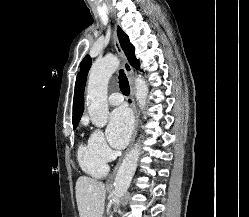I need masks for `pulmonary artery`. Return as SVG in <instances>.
Instances as JSON below:
<instances>
[{
    "label": "pulmonary artery",
    "mask_w": 249,
    "mask_h": 217,
    "mask_svg": "<svg viewBox=\"0 0 249 217\" xmlns=\"http://www.w3.org/2000/svg\"><path fill=\"white\" fill-rule=\"evenodd\" d=\"M108 101L111 105H119L123 101V96L121 93L115 92L109 96Z\"/></svg>",
    "instance_id": "e3ab8cb5"
}]
</instances>
